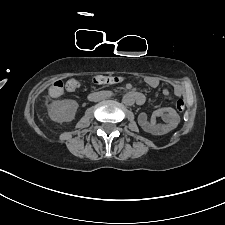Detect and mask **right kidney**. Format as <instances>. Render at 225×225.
<instances>
[{
    "label": "right kidney",
    "mask_w": 225,
    "mask_h": 225,
    "mask_svg": "<svg viewBox=\"0 0 225 225\" xmlns=\"http://www.w3.org/2000/svg\"><path fill=\"white\" fill-rule=\"evenodd\" d=\"M78 103L75 100H56L51 103L48 114L51 120L63 123L75 118Z\"/></svg>",
    "instance_id": "1"
}]
</instances>
